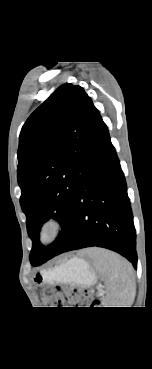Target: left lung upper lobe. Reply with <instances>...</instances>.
Here are the masks:
<instances>
[{
  "label": "left lung upper lobe",
  "mask_w": 152,
  "mask_h": 369,
  "mask_svg": "<svg viewBox=\"0 0 152 369\" xmlns=\"http://www.w3.org/2000/svg\"><path fill=\"white\" fill-rule=\"evenodd\" d=\"M100 118L82 87L60 86L27 119L20 133L17 177L37 266L55 256L75 218V194L84 173L83 158ZM59 220L62 231L51 245L38 240L42 224Z\"/></svg>",
  "instance_id": "5c2ea615"
}]
</instances>
